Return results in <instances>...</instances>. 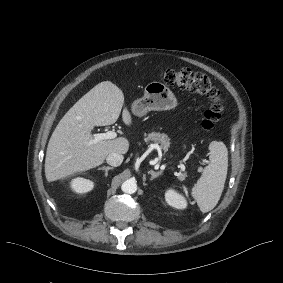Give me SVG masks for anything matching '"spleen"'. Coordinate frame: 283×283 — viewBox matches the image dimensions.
Segmentation results:
<instances>
[{"label": "spleen", "mask_w": 283, "mask_h": 283, "mask_svg": "<svg viewBox=\"0 0 283 283\" xmlns=\"http://www.w3.org/2000/svg\"><path fill=\"white\" fill-rule=\"evenodd\" d=\"M210 163L192 188V196L201 212L211 211L218 203L227 177L228 151L223 142L212 141L209 144Z\"/></svg>", "instance_id": "obj_1"}]
</instances>
